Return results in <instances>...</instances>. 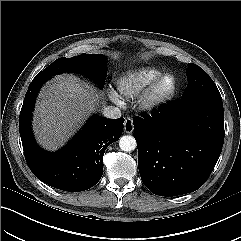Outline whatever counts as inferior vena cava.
Instances as JSON below:
<instances>
[{
    "label": "inferior vena cava",
    "mask_w": 241,
    "mask_h": 241,
    "mask_svg": "<svg viewBox=\"0 0 241 241\" xmlns=\"http://www.w3.org/2000/svg\"><path fill=\"white\" fill-rule=\"evenodd\" d=\"M103 115L109 119H117L121 117V111L118 107L107 106L103 108Z\"/></svg>",
    "instance_id": "1"
}]
</instances>
